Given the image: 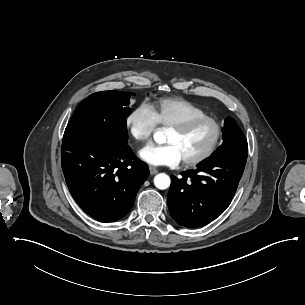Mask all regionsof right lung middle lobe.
Wrapping results in <instances>:
<instances>
[{"instance_id":"1","label":"right lung middle lobe","mask_w":305,"mask_h":305,"mask_svg":"<svg viewBox=\"0 0 305 305\" xmlns=\"http://www.w3.org/2000/svg\"><path fill=\"white\" fill-rule=\"evenodd\" d=\"M131 93L102 91L84 99L75 110L63 136V143L89 141L101 145H126V117Z\"/></svg>"}]
</instances>
